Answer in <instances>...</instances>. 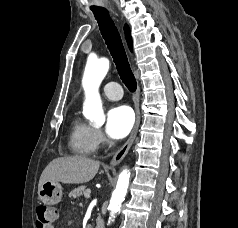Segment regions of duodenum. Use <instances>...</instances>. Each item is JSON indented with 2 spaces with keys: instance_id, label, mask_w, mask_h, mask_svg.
Masks as SVG:
<instances>
[{
  "instance_id": "duodenum-1",
  "label": "duodenum",
  "mask_w": 238,
  "mask_h": 228,
  "mask_svg": "<svg viewBox=\"0 0 238 228\" xmlns=\"http://www.w3.org/2000/svg\"><path fill=\"white\" fill-rule=\"evenodd\" d=\"M95 228H104V222L100 216L95 219Z\"/></svg>"
}]
</instances>
